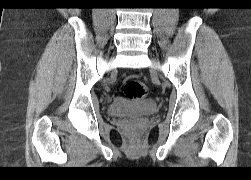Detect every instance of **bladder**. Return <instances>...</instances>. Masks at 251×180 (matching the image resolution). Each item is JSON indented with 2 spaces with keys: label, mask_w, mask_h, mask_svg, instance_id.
I'll use <instances>...</instances> for the list:
<instances>
[{
  "label": "bladder",
  "mask_w": 251,
  "mask_h": 180,
  "mask_svg": "<svg viewBox=\"0 0 251 180\" xmlns=\"http://www.w3.org/2000/svg\"><path fill=\"white\" fill-rule=\"evenodd\" d=\"M157 111L158 105L151 99L131 101L117 97L108 106V114L114 117H138L151 115Z\"/></svg>",
  "instance_id": "bladder-1"
}]
</instances>
